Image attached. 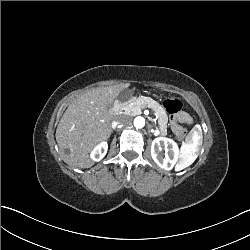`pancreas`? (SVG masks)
<instances>
[{
    "mask_svg": "<svg viewBox=\"0 0 250 250\" xmlns=\"http://www.w3.org/2000/svg\"><path fill=\"white\" fill-rule=\"evenodd\" d=\"M130 102H131V100H128V101H124L123 103H124V107H125V113L127 112V113H131V114H134V112H135V109H136V107H137V104H135V105H130Z\"/></svg>",
    "mask_w": 250,
    "mask_h": 250,
    "instance_id": "pancreas-1",
    "label": "pancreas"
}]
</instances>
